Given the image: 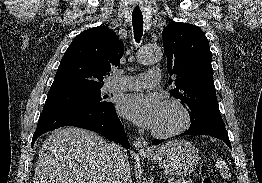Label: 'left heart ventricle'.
Segmentation results:
<instances>
[{"instance_id":"left-heart-ventricle-1","label":"left heart ventricle","mask_w":262,"mask_h":183,"mask_svg":"<svg viewBox=\"0 0 262 183\" xmlns=\"http://www.w3.org/2000/svg\"><path fill=\"white\" fill-rule=\"evenodd\" d=\"M182 123L180 111L173 106L163 105L157 124L153 130L166 133L175 130Z\"/></svg>"}]
</instances>
